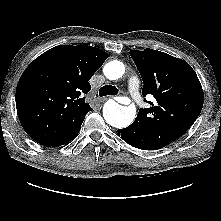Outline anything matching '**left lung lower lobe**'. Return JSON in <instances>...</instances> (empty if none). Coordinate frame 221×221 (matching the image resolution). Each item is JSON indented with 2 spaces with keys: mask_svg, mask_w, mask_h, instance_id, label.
I'll return each instance as SVG.
<instances>
[{
  "mask_svg": "<svg viewBox=\"0 0 221 221\" xmlns=\"http://www.w3.org/2000/svg\"><path fill=\"white\" fill-rule=\"evenodd\" d=\"M118 134L129 145L136 147L135 146V136H134L135 132H133V129L130 126L124 128V129H119Z\"/></svg>",
  "mask_w": 221,
  "mask_h": 221,
  "instance_id": "left-lung-lower-lobe-1",
  "label": "left lung lower lobe"
}]
</instances>
